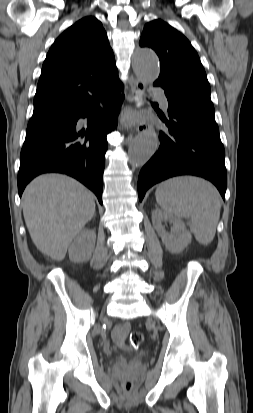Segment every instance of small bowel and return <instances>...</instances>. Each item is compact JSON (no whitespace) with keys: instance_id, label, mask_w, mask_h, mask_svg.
Returning a JSON list of instances; mask_svg holds the SVG:
<instances>
[{"instance_id":"1","label":"small bowel","mask_w":253,"mask_h":413,"mask_svg":"<svg viewBox=\"0 0 253 413\" xmlns=\"http://www.w3.org/2000/svg\"><path fill=\"white\" fill-rule=\"evenodd\" d=\"M129 331H130L129 324H122V325L115 326L112 331L113 341L118 346H121V347L124 346Z\"/></svg>"}]
</instances>
